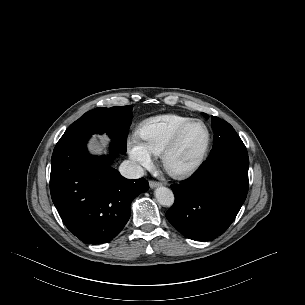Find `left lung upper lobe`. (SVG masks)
<instances>
[{
    "label": "left lung upper lobe",
    "instance_id": "5c2ea615",
    "mask_svg": "<svg viewBox=\"0 0 305 305\" xmlns=\"http://www.w3.org/2000/svg\"><path fill=\"white\" fill-rule=\"evenodd\" d=\"M205 117L208 116L203 113ZM214 146L208 159H214L227 152H247L246 147L233 127L226 121L212 116Z\"/></svg>",
    "mask_w": 305,
    "mask_h": 305
}]
</instances>
